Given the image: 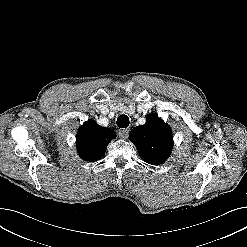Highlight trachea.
Returning a JSON list of instances; mask_svg holds the SVG:
<instances>
[{
	"label": "trachea",
	"mask_w": 247,
	"mask_h": 247,
	"mask_svg": "<svg viewBox=\"0 0 247 247\" xmlns=\"http://www.w3.org/2000/svg\"><path fill=\"white\" fill-rule=\"evenodd\" d=\"M116 123L119 128H127L130 122L128 116L122 114L117 118Z\"/></svg>",
	"instance_id": "trachea-1"
}]
</instances>
